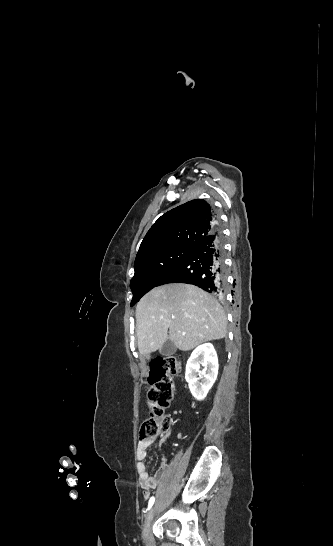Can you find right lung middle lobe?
Instances as JSON below:
<instances>
[{
	"label": "right lung middle lobe",
	"mask_w": 333,
	"mask_h": 546,
	"mask_svg": "<svg viewBox=\"0 0 333 546\" xmlns=\"http://www.w3.org/2000/svg\"><path fill=\"white\" fill-rule=\"evenodd\" d=\"M192 247H173L156 253L135 264V274L131 279L130 287L133 292L131 306L179 264L191 252Z\"/></svg>",
	"instance_id": "obj_1"
}]
</instances>
